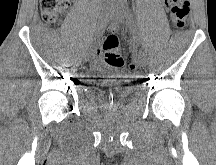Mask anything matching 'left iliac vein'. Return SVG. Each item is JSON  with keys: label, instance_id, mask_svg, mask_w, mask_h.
Instances as JSON below:
<instances>
[{"label": "left iliac vein", "instance_id": "1", "mask_svg": "<svg viewBox=\"0 0 216 165\" xmlns=\"http://www.w3.org/2000/svg\"><path fill=\"white\" fill-rule=\"evenodd\" d=\"M114 7L116 8V14H115V20L118 22H122L124 23V16L121 13L120 9H119V4H115ZM137 62L141 67H145L147 64V58L144 52H142L141 50L138 51L137 53Z\"/></svg>", "mask_w": 216, "mask_h": 165}]
</instances>
